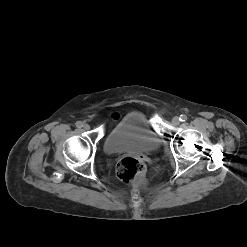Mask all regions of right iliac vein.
Instances as JSON below:
<instances>
[{
  "label": "right iliac vein",
  "instance_id": "63e3f726",
  "mask_svg": "<svg viewBox=\"0 0 247 247\" xmlns=\"http://www.w3.org/2000/svg\"><path fill=\"white\" fill-rule=\"evenodd\" d=\"M83 129L86 130V131L89 130L90 129V125L89 124H84L83 125Z\"/></svg>",
  "mask_w": 247,
  "mask_h": 247
}]
</instances>
